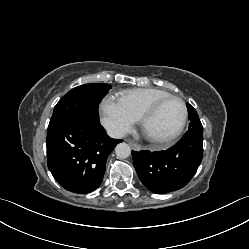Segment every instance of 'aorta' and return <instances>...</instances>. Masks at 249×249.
<instances>
[{
	"mask_svg": "<svg viewBox=\"0 0 249 249\" xmlns=\"http://www.w3.org/2000/svg\"><path fill=\"white\" fill-rule=\"evenodd\" d=\"M116 156L120 159L128 158L131 155V148L127 143H119L115 147Z\"/></svg>",
	"mask_w": 249,
	"mask_h": 249,
	"instance_id": "1",
	"label": "aorta"
}]
</instances>
